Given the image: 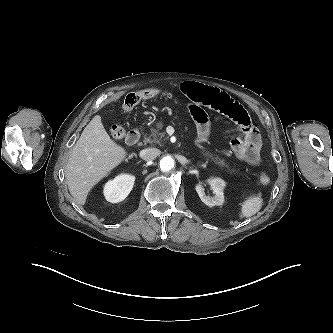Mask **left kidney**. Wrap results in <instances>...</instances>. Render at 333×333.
Returning <instances> with one entry per match:
<instances>
[{
	"instance_id": "5707ae66",
	"label": "left kidney",
	"mask_w": 333,
	"mask_h": 333,
	"mask_svg": "<svg viewBox=\"0 0 333 333\" xmlns=\"http://www.w3.org/2000/svg\"><path fill=\"white\" fill-rule=\"evenodd\" d=\"M208 184L211 186L214 197L206 196L204 188L201 184L196 185V192L198 193L201 201L209 207L220 206L224 203L223 190L225 187V181L221 178H210L207 180Z\"/></svg>"
}]
</instances>
